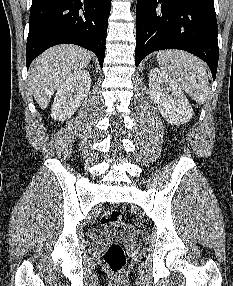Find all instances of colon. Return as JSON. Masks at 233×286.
Instances as JSON below:
<instances>
[{
	"label": "colon",
	"mask_w": 233,
	"mask_h": 286,
	"mask_svg": "<svg viewBox=\"0 0 233 286\" xmlns=\"http://www.w3.org/2000/svg\"><path fill=\"white\" fill-rule=\"evenodd\" d=\"M123 219L124 216L121 211L117 209H107L102 213L100 222L103 225H114L121 223ZM103 259L109 269L114 273L121 271L126 263L124 250L117 243H113L108 247L103 254Z\"/></svg>",
	"instance_id": "1"
}]
</instances>
